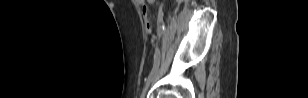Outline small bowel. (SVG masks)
Wrapping results in <instances>:
<instances>
[{
	"label": "small bowel",
	"instance_id": "small-bowel-1",
	"mask_svg": "<svg viewBox=\"0 0 308 98\" xmlns=\"http://www.w3.org/2000/svg\"><path fill=\"white\" fill-rule=\"evenodd\" d=\"M150 2H153V1H150ZM139 4L142 6V5H145V2L143 0H140Z\"/></svg>",
	"mask_w": 308,
	"mask_h": 98
}]
</instances>
